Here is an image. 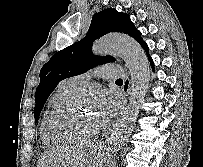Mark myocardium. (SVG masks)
<instances>
[{
    "label": "myocardium",
    "mask_w": 203,
    "mask_h": 167,
    "mask_svg": "<svg viewBox=\"0 0 203 167\" xmlns=\"http://www.w3.org/2000/svg\"><path fill=\"white\" fill-rule=\"evenodd\" d=\"M87 92L77 90L75 91L65 104L54 114L50 121V128L54 134L61 137L62 139L72 143H85L96 139L101 133L102 128L97 132L90 135H77L71 132L68 128V119L74 109L76 102Z\"/></svg>",
    "instance_id": "f54148a6"
}]
</instances>
